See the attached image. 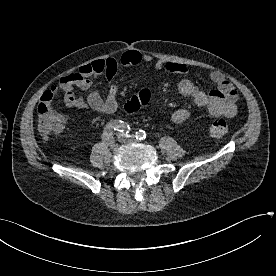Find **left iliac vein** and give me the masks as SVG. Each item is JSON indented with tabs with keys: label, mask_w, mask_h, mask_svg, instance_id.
<instances>
[{
	"label": "left iliac vein",
	"mask_w": 276,
	"mask_h": 276,
	"mask_svg": "<svg viewBox=\"0 0 276 276\" xmlns=\"http://www.w3.org/2000/svg\"><path fill=\"white\" fill-rule=\"evenodd\" d=\"M118 139L122 143H132L136 141V139L133 136L124 135V134H119Z\"/></svg>",
	"instance_id": "4c4485c4"
}]
</instances>
